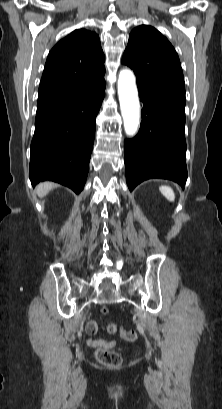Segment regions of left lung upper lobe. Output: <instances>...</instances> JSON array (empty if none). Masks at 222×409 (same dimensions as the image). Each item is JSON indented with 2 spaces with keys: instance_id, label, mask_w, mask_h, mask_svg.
<instances>
[{
  "instance_id": "1",
  "label": "left lung upper lobe",
  "mask_w": 222,
  "mask_h": 409,
  "mask_svg": "<svg viewBox=\"0 0 222 409\" xmlns=\"http://www.w3.org/2000/svg\"><path fill=\"white\" fill-rule=\"evenodd\" d=\"M122 63L133 69L139 89L185 102L179 57L171 43L152 26L140 25L131 31Z\"/></svg>"
}]
</instances>
